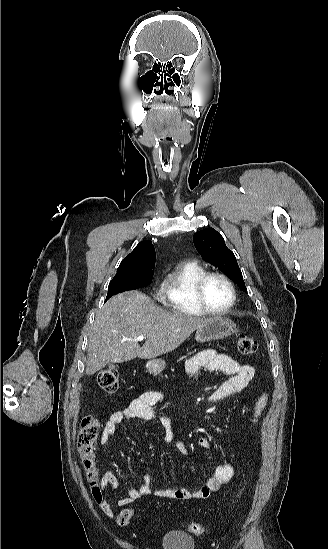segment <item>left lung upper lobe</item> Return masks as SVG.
<instances>
[{
    "instance_id": "obj_1",
    "label": "left lung upper lobe",
    "mask_w": 328,
    "mask_h": 549,
    "mask_svg": "<svg viewBox=\"0 0 328 549\" xmlns=\"http://www.w3.org/2000/svg\"><path fill=\"white\" fill-rule=\"evenodd\" d=\"M194 244L199 254L218 267L241 290L247 292L241 270L234 253L225 245L222 235L213 228L198 231L194 235Z\"/></svg>"
}]
</instances>
